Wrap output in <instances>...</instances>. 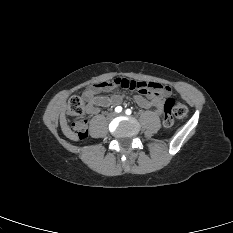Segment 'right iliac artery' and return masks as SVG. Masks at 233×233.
Instances as JSON below:
<instances>
[{
    "label": "right iliac artery",
    "instance_id": "1",
    "mask_svg": "<svg viewBox=\"0 0 233 233\" xmlns=\"http://www.w3.org/2000/svg\"><path fill=\"white\" fill-rule=\"evenodd\" d=\"M122 111V107L121 106H117L116 108H115V112L116 113H120Z\"/></svg>",
    "mask_w": 233,
    "mask_h": 233
}]
</instances>
